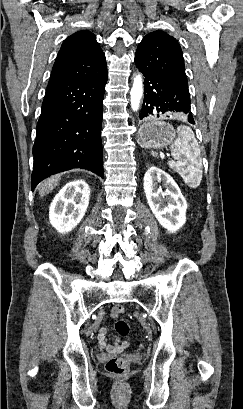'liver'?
Instances as JSON below:
<instances>
[{
    "mask_svg": "<svg viewBox=\"0 0 243 409\" xmlns=\"http://www.w3.org/2000/svg\"><path fill=\"white\" fill-rule=\"evenodd\" d=\"M61 175H55L50 177L49 179L45 180L40 186H39V194L40 196H45L49 194L58 184L60 181Z\"/></svg>",
    "mask_w": 243,
    "mask_h": 409,
    "instance_id": "obj_1",
    "label": "liver"
}]
</instances>
